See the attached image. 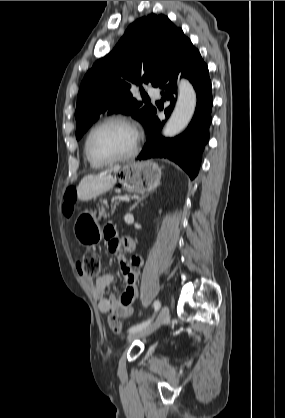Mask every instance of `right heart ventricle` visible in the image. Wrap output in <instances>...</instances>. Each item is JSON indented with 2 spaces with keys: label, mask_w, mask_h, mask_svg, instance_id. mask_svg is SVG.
I'll return each instance as SVG.
<instances>
[{
  "label": "right heart ventricle",
  "mask_w": 285,
  "mask_h": 418,
  "mask_svg": "<svg viewBox=\"0 0 285 418\" xmlns=\"http://www.w3.org/2000/svg\"><path fill=\"white\" fill-rule=\"evenodd\" d=\"M86 156V155H85ZM90 162V161H89ZM90 165L93 167V168H99V167H101V165H97V164H94V163H92V162H90Z\"/></svg>",
  "instance_id": "obj_1"
}]
</instances>
